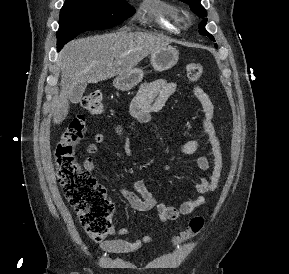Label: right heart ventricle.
I'll return each instance as SVG.
<instances>
[{
  "mask_svg": "<svg viewBox=\"0 0 289 274\" xmlns=\"http://www.w3.org/2000/svg\"><path fill=\"white\" fill-rule=\"evenodd\" d=\"M147 16L160 28L170 32H179L184 26L179 12L160 0H152L147 7Z\"/></svg>",
  "mask_w": 289,
  "mask_h": 274,
  "instance_id": "1",
  "label": "right heart ventricle"
}]
</instances>
